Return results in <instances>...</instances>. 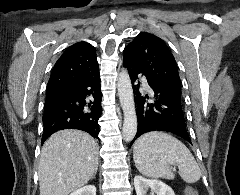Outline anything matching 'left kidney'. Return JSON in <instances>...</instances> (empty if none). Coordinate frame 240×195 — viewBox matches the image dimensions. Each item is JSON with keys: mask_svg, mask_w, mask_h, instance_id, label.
Returning <instances> with one entry per match:
<instances>
[{"mask_svg": "<svg viewBox=\"0 0 240 195\" xmlns=\"http://www.w3.org/2000/svg\"><path fill=\"white\" fill-rule=\"evenodd\" d=\"M134 187L137 195H146L148 189H151L150 195H175L172 187L160 181V179H147L142 175H135Z\"/></svg>", "mask_w": 240, "mask_h": 195, "instance_id": "5707ae66", "label": "left kidney"}]
</instances>
